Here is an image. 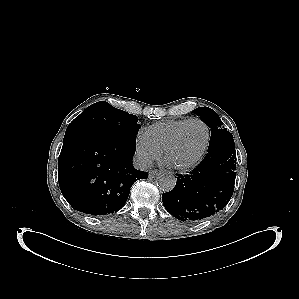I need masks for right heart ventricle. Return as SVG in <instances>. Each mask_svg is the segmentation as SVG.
I'll use <instances>...</instances> for the list:
<instances>
[{
    "mask_svg": "<svg viewBox=\"0 0 299 299\" xmlns=\"http://www.w3.org/2000/svg\"><path fill=\"white\" fill-rule=\"evenodd\" d=\"M187 119L178 121L157 122L150 125L144 132V136L147 140L159 150H164L167 143L175 133V131L185 122Z\"/></svg>",
    "mask_w": 299,
    "mask_h": 299,
    "instance_id": "1",
    "label": "right heart ventricle"
}]
</instances>
